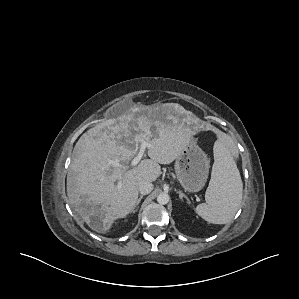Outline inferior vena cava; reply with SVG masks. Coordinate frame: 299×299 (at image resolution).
Segmentation results:
<instances>
[{"label":"inferior vena cava","mask_w":299,"mask_h":299,"mask_svg":"<svg viewBox=\"0 0 299 299\" xmlns=\"http://www.w3.org/2000/svg\"><path fill=\"white\" fill-rule=\"evenodd\" d=\"M140 194L147 195L153 190V184L149 181L142 180L138 184Z\"/></svg>","instance_id":"inferior-vena-cava-1"}]
</instances>
